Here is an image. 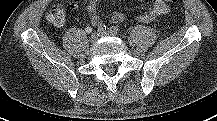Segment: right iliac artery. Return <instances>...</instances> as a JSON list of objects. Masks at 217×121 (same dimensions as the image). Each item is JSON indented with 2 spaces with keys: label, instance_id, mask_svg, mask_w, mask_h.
I'll list each match as a JSON object with an SVG mask.
<instances>
[{
  "label": "right iliac artery",
  "instance_id": "right-iliac-artery-1",
  "mask_svg": "<svg viewBox=\"0 0 217 121\" xmlns=\"http://www.w3.org/2000/svg\"><path fill=\"white\" fill-rule=\"evenodd\" d=\"M106 25H100L99 27H98V32L100 33V32H105L106 31Z\"/></svg>",
  "mask_w": 217,
  "mask_h": 121
}]
</instances>
